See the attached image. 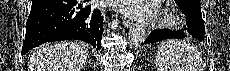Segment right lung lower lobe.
<instances>
[{"instance_id":"obj_1","label":"right lung lower lobe","mask_w":230,"mask_h":71,"mask_svg":"<svg viewBox=\"0 0 230 71\" xmlns=\"http://www.w3.org/2000/svg\"><path fill=\"white\" fill-rule=\"evenodd\" d=\"M89 0H84V2ZM103 16L78 0H32L21 54L45 42L82 40L101 49Z\"/></svg>"}]
</instances>
